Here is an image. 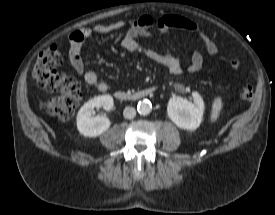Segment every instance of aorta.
Returning <instances> with one entry per match:
<instances>
[{"instance_id":"aorta-1","label":"aorta","mask_w":275,"mask_h":215,"mask_svg":"<svg viewBox=\"0 0 275 215\" xmlns=\"http://www.w3.org/2000/svg\"><path fill=\"white\" fill-rule=\"evenodd\" d=\"M151 110H152V105L148 100L140 101L137 105V111L142 115L149 114Z\"/></svg>"}]
</instances>
